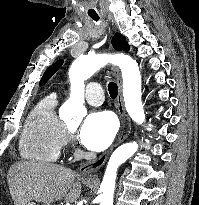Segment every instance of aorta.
<instances>
[{
  "mask_svg": "<svg viewBox=\"0 0 199 205\" xmlns=\"http://www.w3.org/2000/svg\"><path fill=\"white\" fill-rule=\"evenodd\" d=\"M117 65L122 72L123 96L129 116L142 124L145 121L143 104L141 101V74L137 62L125 54H89L79 56L69 69L71 93L63 108L75 120H80L85 112L84 81L90 78L107 63ZM138 149L136 142L119 146L111 155L101 183L102 194L100 205H113V195L118 167L135 154Z\"/></svg>",
  "mask_w": 199,
  "mask_h": 205,
  "instance_id": "obj_1",
  "label": "aorta"
}]
</instances>
